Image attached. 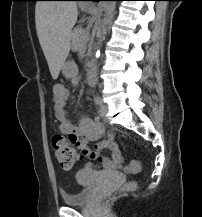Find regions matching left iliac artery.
Returning <instances> with one entry per match:
<instances>
[{
    "instance_id": "44dca946",
    "label": "left iliac artery",
    "mask_w": 202,
    "mask_h": 217,
    "mask_svg": "<svg viewBox=\"0 0 202 217\" xmlns=\"http://www.w3.org/2000/svg\"><path fill=\"white\" fill-rule=\"evenodd\" d=\"M94 100H95V103L97 105H101L102 104V99L100 98L99 95H96L95 98H94Z\"/></svg>"
}]
</instances>
